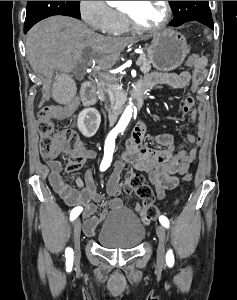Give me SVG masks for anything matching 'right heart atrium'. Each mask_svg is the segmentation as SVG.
I'll list each match as a JSON object with an SVG mask.
<instances>
[{
	"label": "right heart atrium",
	"instance_id": "d8ad5b80",
	"mask_svg": "<svg viewBox=\"0 0 237 300\" xmlns=\"http://www.w3.org/2000/svg\"><path fill=\"white\" fill-rule=\"evenodd\" d=\"M79 11L90 28L103 33L116 31L117 12L106 1H80Z\"/></svg>",
	"mask_w": 237,
	"mask_h": 300
}]
</instances>
